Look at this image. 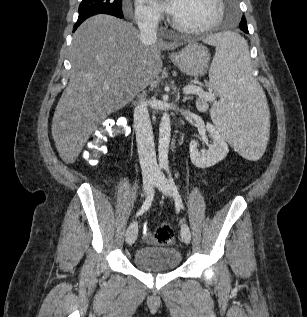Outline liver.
Returning <instances> with one entry per match:
<instances>
[{
	"instance_id": "6515ba94",
	"label": "liver",
	"mask_w": 307,
	"mask_h": 317,
	"mask_svg": "<svg viewBox=\"0 0 307 317\" xmlns=\"http://www.w3.org/2000/svg\"><path fill=\"white\" fill-rule=\"evenodd\" d=\"M181 44L142 42L132 24L110 15L83 22L72 38L70 80L52 120L63 161L73 163L97 126L159 76L161 50Z\"/></svg>"
}]
</instances>
